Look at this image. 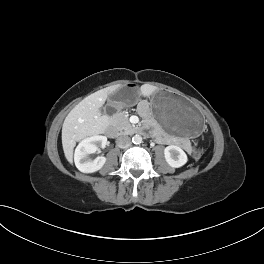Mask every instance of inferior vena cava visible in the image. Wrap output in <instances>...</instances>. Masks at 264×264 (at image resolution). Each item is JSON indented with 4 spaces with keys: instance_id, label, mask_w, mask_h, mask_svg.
I'll list each match as a JSON object with an SVG mask.
<instances>
[{
    "instance_id": "1",
    "label": "inferior vena cava",
    "mask_w": 264,
    "mask_h": 264,
    "mask_svg": "<svg viewBox=\"0 0 264 264\" xmlns=\"http://www.w3.org/2000/svg\"><path fill=\"white\" fill-rule=\"evenodd\" d=\"M116 144L119 148H127L131 145V139L128 136H120L117 138Z\"/></svg>"
}]
</instances>
